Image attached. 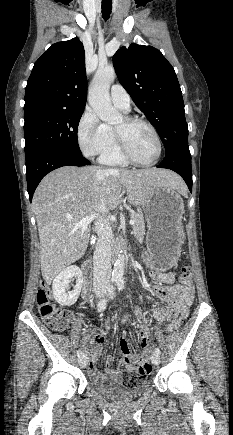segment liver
Instances as JSON below:
<instances>
[{
	"label": "liver",
	"mask_w": 233,
	"mask_h": 435,
	"mask_svg": "<svg viewBox=\"0 0 233 435\" xmlns=\"http://www.w3.org/2000/svg\"><path fill=\"white\" fill-rule=\"evenodd\" d=\"M122 186L127 190L129 203L135 206L146 202L161 186L185 192L184 182L177 174L158 168L64 166L43 178L34 193L32 207L40 239L41 272L47 283L85 254L90 232L75 228L74 224L91 214L102 213L101 200L108 210L115 209L120 204Z\"/></svg>",
	"instance_id": "obj_1"
}]
</instances>
